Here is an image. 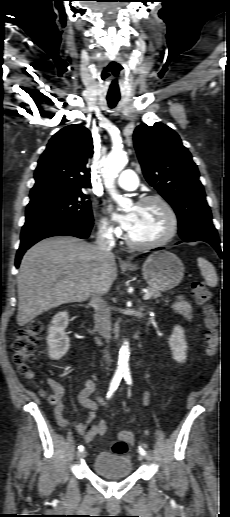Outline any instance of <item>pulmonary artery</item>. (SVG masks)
Here are the masks:
<instances>
[{
  "instance_id": "1",
  "label": "pulmonary artery",
  "mask_w": 230,
  "mask_h": 517,
  "mask_svg": "<svg viewBox=\"0 0 230 517\" xmlns=\"http://www.w3.org/2000/svg\"><path fill=\"white\" fill-rule=\"evenodd\" d=\"M117 185L125 190H135L138 186V178L133 170H124L117 179Z\"/></svg>"
}]
</instances>
